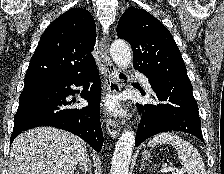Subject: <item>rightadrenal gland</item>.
I'll use <instances>...</instances> for the list:
<instances>
[{
    "label": "right adrenal gland",
    "instance_id": "2a0ac1e0",
    "mask_svg": "<svg viewBox=\"0 0 224 174\" xmlns=\"http://www.w3.org/2000/svg\"><path fill=\"white\" fill-rule=\"evenodd\" d=\"M78 174H79V173H78ZM88 174H92L90 169H89V173H88Z\"/></svg>",
    "mask_w": 224,
    "mask_h": 174
}]
</instances>
